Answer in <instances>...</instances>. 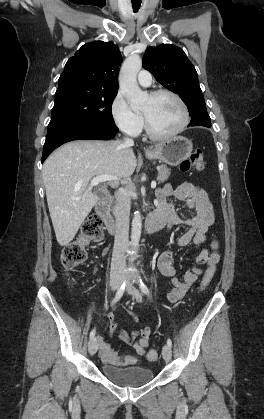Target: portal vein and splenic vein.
Returning <instances> with one entry per match:
<instances>
[{"label":"portal vein and splenic vein","instance_id":"obj_1","mask_svg":"<svg viewBox=\"0 0 264 419\" xmlns=\"http://www.w3.org/2000/svg\"><path fill=\"white\" fill-rule=\"evenodd\" d=\"M116 179H117L116 177L111 176V175H101V176L95 177L91 180L90 187H94V186H96V185H98L99 183H102V182H111V181H114ZM151 188L152 189L156 188V182L155 181H153L151 183Z\"/></svg>","mask_w":264,"mask_h":419}]
</instances>
